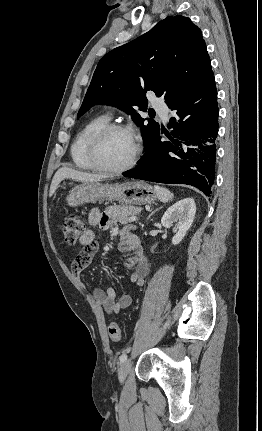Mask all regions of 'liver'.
Here are the masks:
<instances>
[{"label":"liver","instance_id":"1","mask_svg":"<svg viewBox=\"0 0 262 431\" xmlns=\"http://www.w3.org/2000/svg\"><path fill=\"white\" fill-rule=\"evenodd\" d=\"M106 175H99V174H91L86 172H81L69 167H62L58 169V171L55 173L49 190V196L51 197L54 192L56 191L58 185L61 181L64 179H72L78 182H99L102 179L107 178Z\"/></svg>","mask_w":262,"mask_h":431}]
</instances>
